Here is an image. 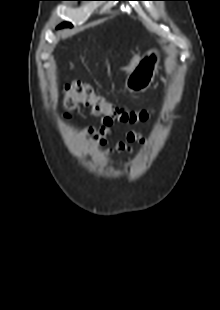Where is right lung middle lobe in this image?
<instances>
[{
	"mask_svg": "<svg viewBox=\"0 0 220 310\" xmlns=\"http://www.w3.org/2000/svg\"><path fill=\"white\" fill-rule=\"evenodd\" d=\"M79 1H83V0H79ZM63 27H72V24L71 23H62L57 28H63Z\"/></svg>",
	"mask_w": 220,
	"mask_h": 310,
	"instance_id": "right-lung-middle-lobe-1",
	"label": "right lung middle lobe"
}]
</instances>
